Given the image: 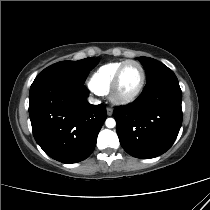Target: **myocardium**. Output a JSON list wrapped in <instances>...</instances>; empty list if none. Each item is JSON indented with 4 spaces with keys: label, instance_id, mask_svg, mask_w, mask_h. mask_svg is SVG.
<instances>
[{
    "label": "myocardium",
    "instance_id": "obj_1",
    "mask_svg": "<svg viewBox=\"0 0 210 210\" xmlns=\"http://www.w3.org/2000/svg\"><path fill=\"white\" fill-rule=\"evenodd\" d=\"M131 63L136 64L139 67L140 72H141V79H140L138 86L136 87V89L133 92L126 94V95H122L119 93L121 74H122V71L125 68V66L128 64H131ZM145 82H146V72H145L143 65L137 60L124 61L117 69V71L113 77L112 83L110 85V89L108 92L110 100L113 103L120 104V105L131 103L140 95V93L142 92V90L144 88Z\"/></svg>",
    "mask_w": 210,
    "mask_h": 210
}]
</instances>
